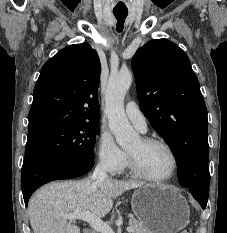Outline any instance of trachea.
Wrapping results in <instances>:
<instances>
[{
  "mask_svg": "<svg viewBox=\"0 0 227 233\" xmlns=\"http://www.w3.org/2000/svg\"><path fill=\"white\" fill-rule=\"evenodd\" d=\"M113 14L117 19V31L121 32L124 28V22L128 15V11H113Z\"/></svg>",
  "mask_w": 227,
  "mask_h": 233,
  "instance_id": "1",
  "label": "trachea"
}]
</instances>
